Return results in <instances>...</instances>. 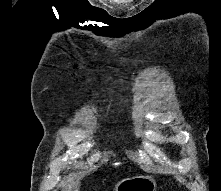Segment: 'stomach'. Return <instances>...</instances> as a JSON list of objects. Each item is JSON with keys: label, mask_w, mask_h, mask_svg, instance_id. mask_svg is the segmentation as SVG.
<instances>
[{"label": "stomach", "mask_w": 221, "mask_h": 191, "mask_svg": "<svg viewBox=\"0 0 221 191\" xmlns=\"http://www.w3.org/2000/svg\"><path fill=\"white\" fill-rule=\"evenodd\" d=\"M156 182L151 176H135L116 183L115 191H155Z\"/></svg>", "instance_id": "stomach-1"}]
</instances>
